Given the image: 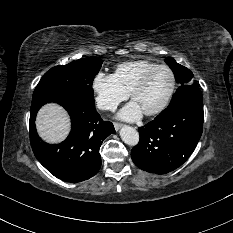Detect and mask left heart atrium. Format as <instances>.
<instances>
[{
  "mask_svg": "<svg viewBox=\"0 0 233 233\" xmlns=\"http://www.w3.org/2000/svg\"><path fill=\"white\" fill-rule=\"evenodd\" d=\"M142 115L143 111L134 101H131L129 104L124 106L118 113V117L125 121L138 120Z\"/></svg>",
  "mask_w": 233,
  "mask_h": 233,
  "instance_id": "39dd6f15",
  "label": "left heart atrium"
}]
</instances>
